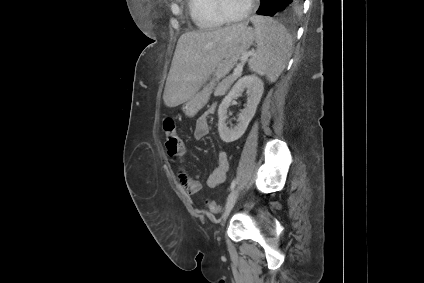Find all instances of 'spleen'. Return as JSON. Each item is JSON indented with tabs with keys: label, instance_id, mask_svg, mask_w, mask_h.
I'll return each mask as SVG.
<instances>
[{
	"label": "spleen",
	"instance_id": "3e777b00",
	"mask_svg": "<svg viewBox=\"0 0 424 283\" xmlns=\"http://www.w3.org/2000/svg\"><path fill=\"white\" fill-rule=\"evenodd\" d=\"M251 21L258 46L248 61L249 69L273 83L291 57L292 37L282 24L271 18L254 16Z\"/></svg>",
	"mask_w": 424,
	"mask_h": 283
}]
</instances>
